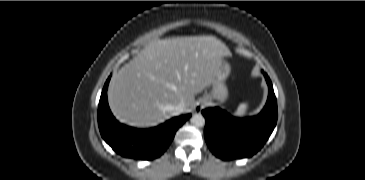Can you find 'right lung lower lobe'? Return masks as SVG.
I'll list each match as a JSON object with an SVG mask.
<instances>
[{"instance_id": "obj_1", "label": "right lung lower lobe", "mask_w": 365, "mask_h": 180, "mask_svg": "<svg viewBox=\"0 0 365 180\" xmlns=\"http://www.w3.org/2000/svg\"><path fill=\"white\" fill-rule=\"evenodd\" d=\"M106 81L99 105L98 126L102 138L119 155L135 160H152L167 149L177 129L191 117V114L172 118L167 122L150 129H136L119 123L112 115L107 101Z\"/></svg>"}]
</instances>
